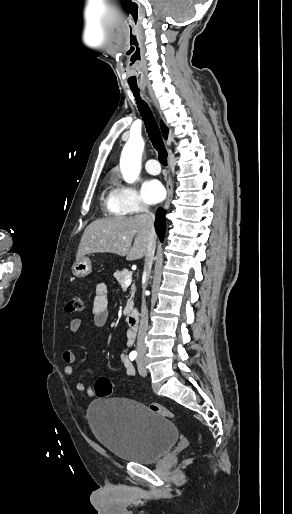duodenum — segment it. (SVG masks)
Instances as JSON below:
<instances>
[{
  "label": "duodenum",
  "instance_id": "1",
  "mask_svg": "<svg viewBox=\"0 0 292 514\" xmlns=\"http://www.w3.org/2000/svg\"><path fill=\"white\" fill-rule=\"evenodd\" d=\"M139 325V312L136 309H132L128 313V327L131 332H135Z\"/></svg>",
  "mask_w": 292,
  "mask_h": 514
}]
</instances>
